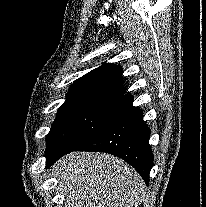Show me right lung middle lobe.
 Wrapping results in <instances>:
<instances>
[{
    "label": "right lung middle lobe",
    "instance_id": "right-lung-middle-lobe-1",
    "mask_svg": "<svg viewBox=\"0 0 206 207\" xmlns=\"http://www.w3.org/2000/svg\"><path fill=\"white\" fill-rule=\"evenodd\" d=\"M129 104V96L66 101L48 134L46 153L78 146L119 117Z\"/></svg>",
    "mask_w": 206,
    "mask_h": 207
}]
</instances>
